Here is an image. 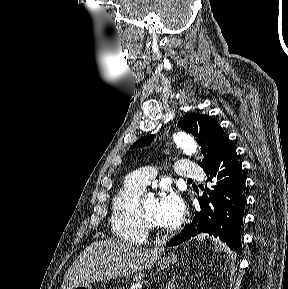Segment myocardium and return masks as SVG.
<instances>
[{"instance_id": "1", "label": "myocardium", "mask_w": 288, "mask_h": 289, "mask_svg": "<svg viewBox=\"0 0 288 289\" xmlns=\"http://www.w3.org/2000/svg\"><path fill=\"white\" fill-rule=\"evenodd\" d=\"M145 195H141L135 206V217L138 226L147 232H152L155 234H160L162 231L145 215L143 211V200Z\"/></svg>"}]
</instances>
